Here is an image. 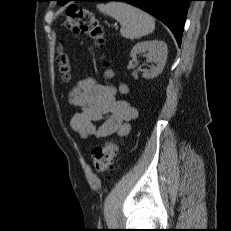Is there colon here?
Here are the masks:
<instances>
[{
  "mask_svg": "<svg viewBox=\"0 0 231 231\" xmlns=\"http://www.w3.org/2000/svg\"><path fill=\"white\" fill-rule=\"evenodd\" d=\"M66 25L76 35H85L94 39L98 46L105 43L104 31L96 17L85 7L70 4L65 9ZM59 71L65 80L70 78L73 61L65 52L58 55ZM117 146L113 142H106L92 150V162L99 173L106 172L113 164L117 155Z\"/></svg>",
  "mask_w": 231,
  "mask_h": 231,
  "instance_id": "colon-1",
  "label": "colon"
}]
</instances>
